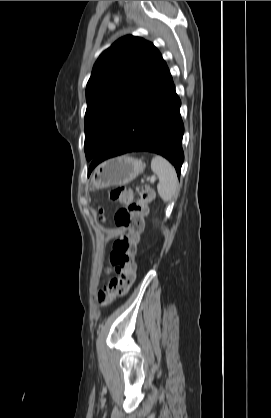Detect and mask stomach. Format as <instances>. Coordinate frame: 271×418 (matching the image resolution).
Wrapping results in <instances>:
<instances>
[{
    "label": "stomach",
    "instance_id": "stomach-1",
    "mask_svg": "<svg viewBox=\"0 0 271 418\" xmlns=\"http://www.w3.org/2000/svg\"><path fill=\"white\" fill-rule=\"evenodd\" d=\"M146 165L141 160L124 155L98 165L90 176L94 189L125 185L143 173Z\"/></svg>",
    "mask_w": 271,
    "mask_h": 418
}]
</instances>
